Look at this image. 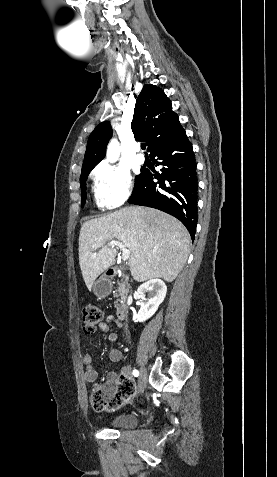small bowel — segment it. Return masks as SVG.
<instances>
[{
    "instance_id": "c3829d8e",
    "label": "small bowel",
    "mask_w": 277,
    "mask_h": 477,
    "mask_svg": "<svg viewBox=\"0 0 277 477\" xmlns=\"http://www.w3.org/2000/svg\"><path fill=\"white\" fill-rule=\"evenodd\" d=\"M106 321L108 323L115 324V326L117 328L122 327V323L120 321H118L113 315H108L106 317ZM98 327L103 331H108V326H107L106 323H100L98 325ZM107 337H108V341L111 342V343H115L118 340V335L114 332H108ZM122 357H123V353L119 349H112L109 352V360L111 362H119L122 359ZM82 360H83V364L85 366L84 380L86 382H89V383L94 382L98 377V370L94 367V365L92 363V356L87 353L83 356ZM107 380H108L109 383H116V382L121 381V380L130 381L129 380V368L124 367L122 369L121 376H118L114 372L109 373L108 377H107Z\"/></svg>"
}]
</instances>
